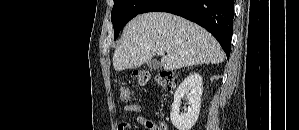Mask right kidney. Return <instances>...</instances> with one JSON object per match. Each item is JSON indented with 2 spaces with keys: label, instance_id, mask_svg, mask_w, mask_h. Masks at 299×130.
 Returning a JSON list of instances; mask_svg holds the SVG:
<instances>
[{
  "label": "right kidney",
  "instance_id": "1",
  "mask_svg": "<svg viewBox=\"0 0 299 130\" xmlns=\"http://www.w3.org/2000/svg\"><path fill=\"white\" fill-rule=\"evenodd\" d=\"M202 92V77L198 73L190 74L177 88L170 112L171 122L177 130H190L196 123L200 113ZM185 95L188 99L187 113L180 114L181 99Z\"/></svg>",
  "mask_w": 299,
  "mask_h": 130
}]
</instances>
